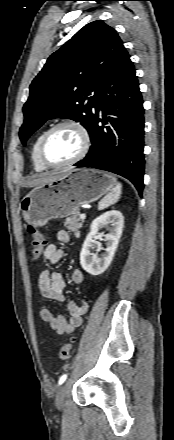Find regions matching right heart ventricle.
Returning <instances> with one entry per match:
<instances>
[{"mask_svg": "<svg viewBox=\"0 0 174 440\" xmlns=\"http://www.w3.org/2000/svg\"><path fill=\"white\" fill-rule=\"evenodd\" d=\"M47 129H43L41 130L34 138L32 145H31V149H30V157H31V162L32 165L34 167V169L37 172H43L47 169L46 166H44L40 159H39V144L41 141V138L43 136V134L46 132Z\"/></svg>", "mask_w": 174, "mask_h": 440, "instance_id": "right-heart-ventricle-1", "label": "right heart ventricle"}]
</instances>
